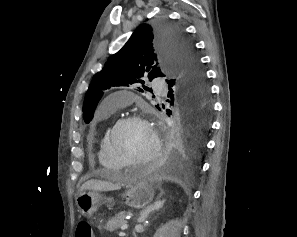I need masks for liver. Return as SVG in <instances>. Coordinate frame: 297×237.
Here are the masks:
<instances>
[{"label":"liver","mask_w":297,"mask_h":237,"mask_svg":"<svg viewBox=\"0 0 297 237\" xmlns=\"http://www.w3.org/2000/svg\"><path fill=\"white\" fill-rule=\"evenodd\" d=\"M121 187L117 184H112L110 182L101 180H88L81 186V191L93 190V191H113L118 190Z\"/></svg>","instance_id":"1"}]
</instances>
